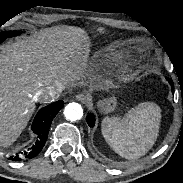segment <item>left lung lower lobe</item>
Segmentation results:
<instances>
[{"label": "left lung lower lobe", "instance_id": "0a47b994", "mask_svg": "<svg viewBox=\"0 0 183 183\" xmlns=\"http://www.w3.org/2000/svg\"><path fill=\"white\" fill-rule=\"evenodd\" d=\"M170 84L172 85V90H174V86H173V82L171 80H169ZM87 123L90 127H93L95 124V118L94 116L91 114L89 116H87Z\"/></svg>", "mask_w": 183, "mask_h": 183}]
</instances>
